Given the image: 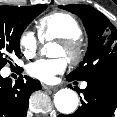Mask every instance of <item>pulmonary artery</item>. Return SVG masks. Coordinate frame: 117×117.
Segmentation results:
<instances>
[{
    "label": "pulmonary artery",
    "mask_w": 117,
    "mask_h": 117,
    "mask_svg": "<svg viewBox=\"0 0 117 117\" xmlns=\"http://www.w3.org/2000/svg\"><path fill=\"white\" fill-rule=\"evenodd\" d=\"M87 84L86 83H83L82 84V88H86Z\"/></svg>",
    "instance_id": "pulmonary-artery-1"
}]
</instances>
